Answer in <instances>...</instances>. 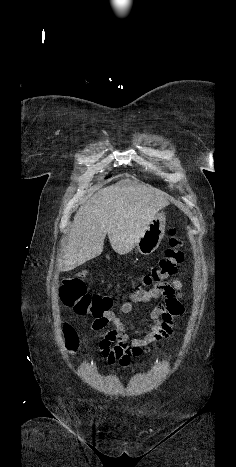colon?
Returning <instances> with one entry per match:
<instances>
[{"label":"colon","mask_w":236,"mask_h":467,"mask_svg":"<svg viewBox=\"0 0 236 467\" xmlns=\"http://www.w3.org/2000/svg\"><path fill=\"white\" fill-rule=\"evenodd\" d=\"M169 234L168 248L164 257L143 275L141 285L136 288L135 292L160 288L176 274L177 266L183 260L182 240L178 230L174 227L170 229ZM60 297L65 306L73 308L79 315L90 314L94 317H101L113 307V299L110 296L90 294L87 291L83 275L64 279L60 288ZM65 338L67 349L75 351L78 338L69 326L65 327Z\"/></svg>","instance_id":"5ec220e1"}]
</instances>
